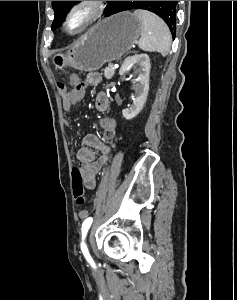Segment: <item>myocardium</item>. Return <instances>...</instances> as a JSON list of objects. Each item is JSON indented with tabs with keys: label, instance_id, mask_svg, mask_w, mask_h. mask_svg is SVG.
I'll return each mask as SVG.
<instances>
[{
	"label": "myocardium",
	"instance_id": "1",
	"mask_svg": "<svg viewBox=\"0 0 237 300\" xmlns=\"http://www.w3.org/2000/svg\"><path fill=\"white\" fill-rule=\"evenodd\" d=\"M106 1H75L66 11L62 29L68 36H77L97 22L104 14ZM77 25L72 28L73 22Z\"/></svg>",
	"mask_w": 237,
	"mask_h": 300
}]
</instances>
